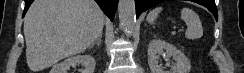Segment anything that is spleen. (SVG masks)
<instances>
[{"label":"spleen","mask_w":244,"mask_h":73,"mask_svg":"<svg viewBox=\"0 0 244 73\" xmlns=\"http://www.w3.org/2000/svg\"><path fill=\"white\" fill-rule=\"evenodd\" d=\"M162 7H157L149 12L147 16L148 23H153L159 13H161ZM181 19L186 23L187 30L185 37L190 40L199 39L203 36V27L199 16L189 8H183L181 10Z\"/></svg>","instance_id":"1"}]
</instances>
